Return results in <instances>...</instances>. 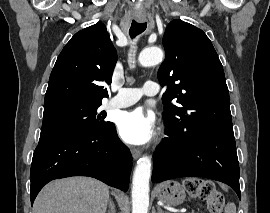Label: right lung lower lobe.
I'll return each instance as SVG.
<instances>
[{"instance_id":"1","label":"right lung lower lobe","mask_w":270,"mask_h":213,"mask_svg":"<svg viewBox=\"0 0 270 213\" xmlns=\"http://www.w3.org/2000/svg\"><path fill=\"white\" fill-rule=\"evenodd\" d=\"M132 156L113 123L98 133L41 130L30 171L31 204L51 180L89 176L126 191Z\"/></svg>"}]
</instances>
